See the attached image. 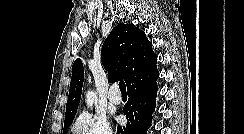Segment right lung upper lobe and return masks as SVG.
<instances>
[{"instance_id": "1", "label": "right lung upper lobe", "mask_w": 244, "mask_h": 134, "mask_svg": "<svg viewBox=\"0 0 244 134\" xmlns=\"http://www.w3.org/2000/svg\"><path fill=\"white\" fill-rule=\"evenodd\" d=\"M101 61L108 71L109 81L123 79L127 88L157 75V56L144 31L133 24H118L104 41ZM84 69L80 59L72 66L66 117L75 116L80 103Z\"/></svg>"}]
</instances>
